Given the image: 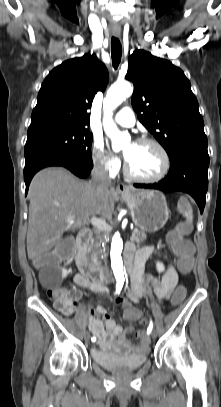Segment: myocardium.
<instances>
[{"mask_svg":"<svg viewBox=\"0 0 221 407\" xmlns=\"http://www.w3.org/2000/svg\"><path fill=\"white\" fill-rule=\"evenodd\" d=\"M136 143L150 144V145L155 146L160 151V153L163 157V160H164L163 169H162L161 173L155 177H143V176L136 174L131 169L128 161L125 160V164H124L125 174L129 178L136 180L138 182H142V183H157V182H160L161 180H163L168 175L170 168H171V158H170V155H169L167 149L159 141H157L153 138H148V137L140 138L137 140Z\"/></svg>","mask_w":221,"mask_h":407,"instance_id":"f54148a6","label":"myocardium"}]
</instances>
